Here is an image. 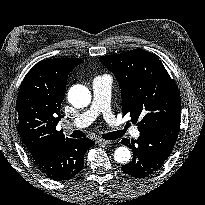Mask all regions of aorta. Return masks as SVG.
<instances>
[{
  "label": "aorta",
  "instance_id": "1",
  "mask_svg": "<svg viewBox=\"0 0 205 205\" xmlns=\"http://www.w3.org/2000/svg\"><path fill=\"white\" fill-rule=\"evenodd\" d=\"M68 101L75 108H85L90 104L91 93L84 85H74L69 89ZM114 159L120 164H126L131 159V152L125 146L118 147L114 152Z\"/></svg>",
  "mask_w": 205,
  "mask_h": 205
}]
</instances>
